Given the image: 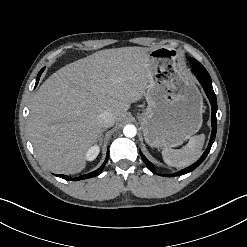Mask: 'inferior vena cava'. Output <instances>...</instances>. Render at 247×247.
I'll return each instance as SVG.
<instances>
[{"label": "inferior vena cava", "mask_w": 247, "mask_h": 247, "mask_svg": "<svg viewBox=\"0 0 247 247\" xmlns=\"http://www.w3.org/2000/svg\"><path fill=\"white\" fill-rule=\"evenodd\" d=\"M98 119H99L100 126L103 129L113 126L115 121H116V117H115L114 113H112L110 111L102 112L99 115Z\"/></svg>", "instance_id": "obj_1"}]
</instances>
